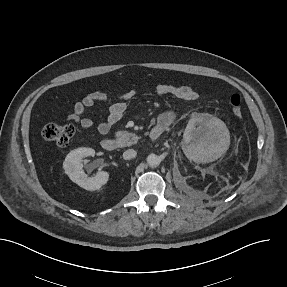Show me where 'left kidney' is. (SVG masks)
<instances>
[{
  "label": "left kidney",
  "mask_w": 287,
  "mask_h": 287,
  "mask_svg": "<svg viewBox=\"0 0 287 287\" xmlns=\"http://www.w3.org/2000/svg\"><path fill=\"white\" fill-rule=\"evenodd\" d=\"M197 122L198 121L194 118L189 120L183 135L184 142L195 146L197 150H207V152H209V156H211L210 160L218 158L227 149V130L225 128H216L215 131L210 129L207 135H204L199 133L196 129ZM213 136H215V140H212Z\"/></svg>",
  "instance_id": "1"
}]
</instances>
